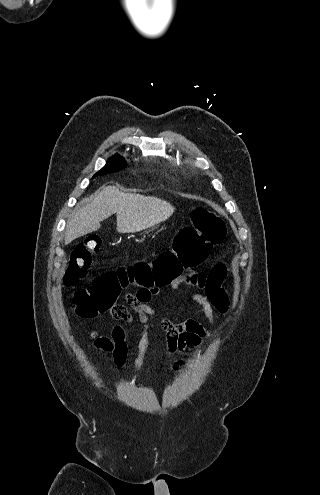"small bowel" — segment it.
Wrapping results in <instances>:
<instances>
[{
  "instance_id": "c3829d8e",
  "label": "small bowel",
  "mask_w": 320,
  "mask_h": 495,
  "mask_svg": "<svg viewBox=\"0 0 320 495\" xmlns=\"http://www.w3.org/2000/svg\"><path fill=\"white\" fill-rule=\"evenodd\" d=\"M226 266L219 262L213 266L208 274L202 273L195 269H188L187 275L182 278L174 279L170 286L177 289L184 282L195 288L201 289L203 293H193L191 300L201 306L203 313L212 323L216 313H224L229 307V300L225 292L220 288L226 276ZM138 291H143L149 295V300L138 302L135 295L127 294L125 296L126 305L110 311V315L119 320L114 327L113 338L116 342V360L120 362L126 353L125 334L127 324L132 322L133 312L137 314L142 325V334L138 342V353L134 360L136 370L143 366L147 347H148V330L149 318L156 315L155 310L149 302L152 296L158 293V289H148L141 287ZM137 291V292H138ZM161 326L166 334L167 349L169 353L186 352L199 346L203 339L209 336V332L194 319L182 320H162ZM176 366L181 362H176Z\"/></svg>"
}]
</instances>
